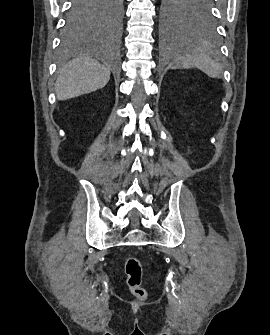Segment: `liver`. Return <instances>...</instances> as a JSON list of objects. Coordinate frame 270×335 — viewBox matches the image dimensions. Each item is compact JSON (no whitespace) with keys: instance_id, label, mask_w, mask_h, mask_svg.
I'll use <instances>...</instances> for the list:
<instances>
[{"instance_id":"liver-1","label":"liver","mask_w":270,"mask_h":335,"mask_svg":"<svg viewBox=\"0 0 270 335\" xmlns=\"http://www.w3.org/2000/svg\"><path fill=\"white\" fill-rule=\"evenodd\" d=\"M58 74L55 84L57 100H69L81 94H90L104 88L110 80L109 68L87 56L72 60Z\"/></svg>"}]
</instances>
